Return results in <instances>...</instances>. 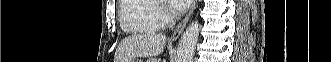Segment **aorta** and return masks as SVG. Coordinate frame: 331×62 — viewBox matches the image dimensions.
<instances>
[{"instance_id": "1", "label": "aorta", "mask_w": 331, "mask_h": 62, "mask_svg": "<svg viewBox=\"0 0 331 62\" xmlns=\"http://www.w3.org/2000/svg\"><path fill=\"white\" fill-rule=\"evenodd\" d=\"M199 31L200 25L198 21L192 22L187 27L179 42L176 62H192Z\"/></svg>"}]
</instances>
